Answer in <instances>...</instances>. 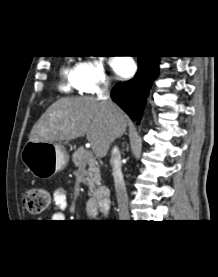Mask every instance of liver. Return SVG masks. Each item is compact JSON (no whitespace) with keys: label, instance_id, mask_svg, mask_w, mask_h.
<instances>
[{"label":"liver","instance_id":"liver-1","mask_svg":"<svg viewBox=\"0 0 218 277\" xmlns=\"http://www.w3.org/2000/svg\"><path fill=\"white\" fill-rule=\"evenodd\" d=\"M128 118L118 107L92 97L63 98L53 103L33 126L29 141L60 142L86 135L94 153L106 156L111 143L122 136Z\"/></svg>","mask_w":218,"mask_h":277}]
</instances>
